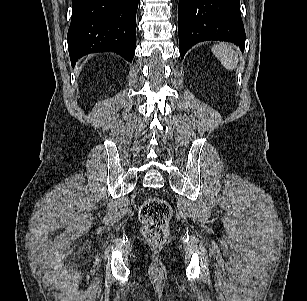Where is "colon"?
<instances>
[{"label": "colon", "mask_w": 307, "mask_h": 301, "mask_svg": "<svg viewBox=\"0 0 307 301\" xmlns=\"http://www.w3.org/2000/svg\"><path fill=\"white\" fill-rule=\"evenodd\" d=\"M171 215V207L166 200L159 197L145 200L139 209L143 236L152 244H163L169 236Z\"/></svg>", "instance_id": "obj_1"}]
</instances>
